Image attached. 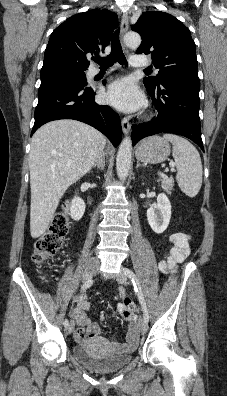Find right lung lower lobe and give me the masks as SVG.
<instances>
[{
    "label": "right lung lower lobe",
    "instance_id": "obj_1",
    "mask_svg": "<svg viewBox=\"0 0 227 396\" xmlns=\"http://www.w3.org/2000/svg\"><path fill=\"white\" fill-rule=\"evenodd\" d=\"M95 95V89L72 80L42 82L31 135L47 122L74 119L98 129L118 146L122 138L120 118L109 106L97 104Z\"/></svg>",
    "mask_w": 227,
    "mask_h": 396
}]
</instances>
